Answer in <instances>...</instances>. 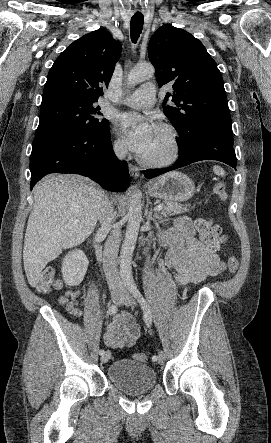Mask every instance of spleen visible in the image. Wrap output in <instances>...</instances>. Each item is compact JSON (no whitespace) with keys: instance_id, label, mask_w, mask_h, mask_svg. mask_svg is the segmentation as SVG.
<instances>
[{"instance_id":"spleen-1","label":"spleen","mask_w":271,"mask_h":443,"mask_svg":"<svg viewBox=\"0 0 271 443\" xmlns=\"http://www.w3.org/2000/svg\"><path fill=\"white\" fill-rule=\"evenodd\" d=\"M213 172L216 174V176H224L225 174L223 168H220V166H214Z\"/></svg>"}]
</instances>
